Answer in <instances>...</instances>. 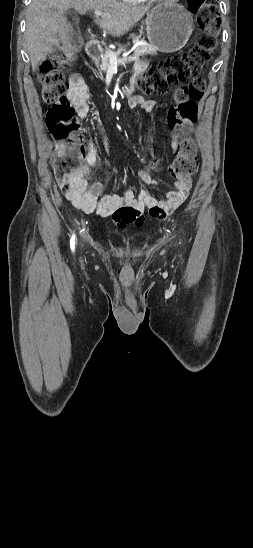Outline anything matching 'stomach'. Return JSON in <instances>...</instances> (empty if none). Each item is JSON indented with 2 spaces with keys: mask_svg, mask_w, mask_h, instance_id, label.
<instances>
[{
  "mask_svg": "<svg viewBox=\"0 0 253 548\" xmlns=\"http://www.w3.org/2000/svg\"><path fill=\"white\" fill-rule=\"evenodd\" d=\"M192 31L191 14L182 5L160 4L147 14V38L161 52H175L184 47Z\"/></svg>",
  "mask_w": 253,
  "mask_h": 548,
  "instance_id": "obj_1",
  "label": "stomach"
}]
</instances>
